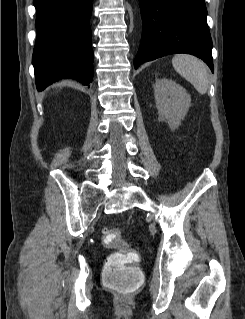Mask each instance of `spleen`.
Masks as SVG:
<instances>
[{"mask_svg":"<svg viewBox=\"0 0 245 319\" xmlns=\"http://www.w3.org/2000/svg\"><path fill=\"white\" fill-rule=\"evenodd\" d=\"M174 69L200 93L205 94L209 85V75L206 64L188 54H178L172 59Z\"/></svg>","mask_w":245,"mask_h":319,"instance_id":"1","label":"spleen"}]
</instances>
